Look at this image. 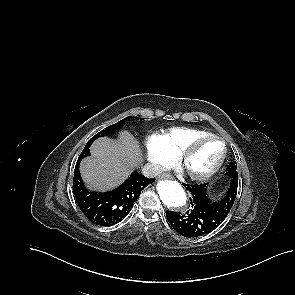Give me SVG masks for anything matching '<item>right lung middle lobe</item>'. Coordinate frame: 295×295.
<instances>
[{"label": "right lung middle lobe", "mask_w": 295, "mask_h": 295, "mask_svg": "<svg viewBox=\"0 0 295 295\" xmlns=\"http://www.w3.org/2000/svg\"><path fill=\"white\" fill-rule=\"evenodd\" d=\"M143 119V118H140ZM125 119L120 120L119 122L113 124L112 126H109L107 128H105L104 130H102L101 132L97 133L95 136H93L86 144L84 150L82 151L81 154L86 153L87 150L89 149V147L91 146L92 142L95 141L97 138L108 135V134H112L114 133L117 129H119L120 127L123 126Z\"/></svg>", "instance_id": "right-lung-middle-lobe-1"}]
</instances>
